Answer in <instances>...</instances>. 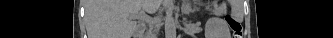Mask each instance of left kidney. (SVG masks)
<instances>
[{
	"label": "left kidney",
	"instance_id": "5707ae66",
	"mask_svg": "<svg viewBox=\"0 0 333 38\" xmlns=\"http://www.w3.org/2000/svg\"><path fill=\"white\" fill-rule=\"evenodd\" d=\"M228 28L226 23L218 17L207 19L205 24V35L213 36V38H226Z\"/></svg>",
	"mask_w": 333,
	"mask_h": 38
}]
</instances>
